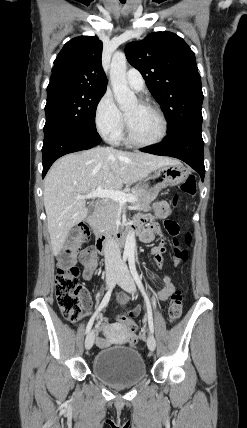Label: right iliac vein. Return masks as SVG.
Masks as SVG:
<instances>
[{"instance_id": "1", "label": "right iliac vein", "mask_w": 247, "mask_h": 428, "mask_svg": "<svg viewBox=\"0 0 247 428\" xmlns=\"http://www.w3.org/2000/svg\"><path fill=\"white\" fill-rule=\"evenodd\" d=\"M117 277V272L115 270H112L110 272H108L107 277H106V281H107V286L109 288L113 287L115 280ZM94 340H95V333L94 330L90 331L85 339V348L87 350L91 349L93 344H94Z\"/></svg>"}]
</instances>
